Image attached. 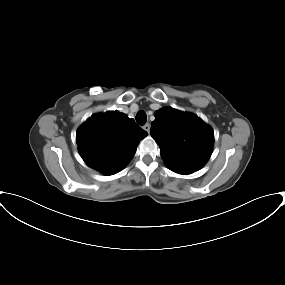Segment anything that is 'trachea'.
Here are the masks:
<instances>
[{
    "instance_id": "trachea-1",
    "label": "trachea",
    "mask_w": 285,
    "mask_h": 285,
    "mask_svg": "<svg viewBox=\"0 0 285 285\" xmlns=\"http://www.w3.org/2000/svg\"><path fill=\"white\" fill-rule=\"evenodd\" d=\"M136 121L139 125H144L147 121V115L144 111H139L137 114H136Z\"/></svg>"
}]
</instances>
